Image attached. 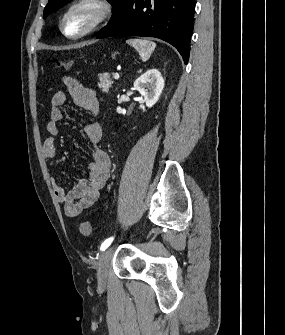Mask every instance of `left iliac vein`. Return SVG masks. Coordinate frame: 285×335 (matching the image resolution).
<instances>
[{
  "mask_svg": "<svg viewBox=\"0 0 285 335\" xmlns=\"http://www.w3.org/2000/svg\"><path fill=\"white\" fill-rule=\"evenodd\" d=\"M112 255V248H108L100 254L97 277L99 284H105L109 276V262Z\"/></svg>",
  "mask_w": 285,
  "mask_h": 335,
  "instance_id": "left-iliac-vein-1",
  "label": "left iliac vein"
}]
</instances>
